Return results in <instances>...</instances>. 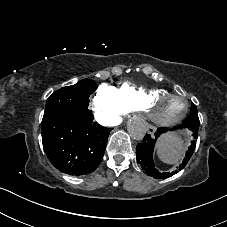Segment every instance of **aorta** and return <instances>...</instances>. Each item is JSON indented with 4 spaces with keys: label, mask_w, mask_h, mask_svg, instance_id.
<instances>
[{
    "label": "aorta",
    "mask_w": 227,
    "mask_h": 227,
    "mask_svg": "<svg viewBox=\"0 0 227 227\" xmlns=\"http://www.w3.org/2000/svg\"><path fill=\"white\" fill-rule=\"evenodd\" d=\"M128 131L134 139L141 140L145 133V123L139 118H134L128 123Z\"/></svg>",
    "instance_id": "obj_1"
}]
</instances>
